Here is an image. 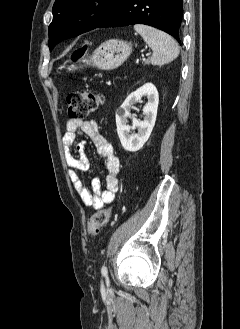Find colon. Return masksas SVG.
<instances>
[{"instance_id":"5ec220e1","label":"colon","mask_w":240,"mask_h":329,"mask_svg":"<svg viewBox=\"0 0 240 329\" xmlns=\"http://www.w3.org/2000/svg\"><path fill=\"white\" fill-rule=\"evenodd\" d=\"M85 48L76 50L71 62H78L84 55ZM102 102L101 94L93 91L78 90L69 93L66 97L68 106V115L71 119H82L93 113ZM112 213L111 208L101 209L93 214L87 223V230L91 236L98 234L101 227H103L110 219Z\"/></svg>"}]
</instances>
